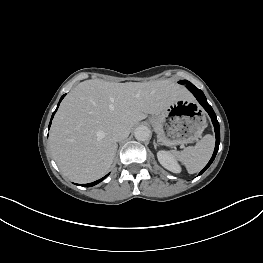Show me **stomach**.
I'll list each match as a JSON object with an SVG mask.
<instances>
[{
  "mask_svg": "<svg viewBox=\"0 0 263 263\" xmlns=\"http://www.w3.org/2000/svg\"><path fill=\"white\" fill-rule=\"evenodd\" d=\"M157 140L166 146L191 143L207 126L206 116L191 98L180 99L150 118Z\"/></svg>",
  "mask_w": 263,
  "mask_h": 263,
  "instance_id": "1",
  "label": "stomach"
}]
</instances>
